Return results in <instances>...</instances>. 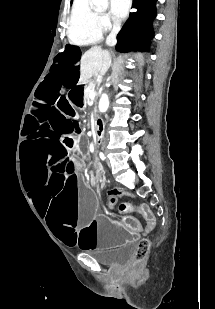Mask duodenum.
<instances>
[{
  "mask_svg": "<svg viewBox=\"0 0 215 309\" xmlns=\"http://www.w3.org/2000/svg\"><path fill=\"white\" fill-rule=\"evenodd\" d=\"M95 129L94 136L98 145H102L104 143V130H103V119L96 118L95 119Z\"/></svg>",
  "mask_w": 215,
  "mask_h": 309,
  "instance_id": "duodenum-1",
  "label": "duodenum"
}]
</instances>
